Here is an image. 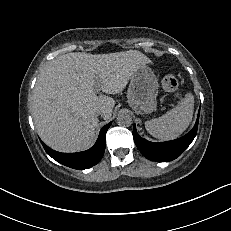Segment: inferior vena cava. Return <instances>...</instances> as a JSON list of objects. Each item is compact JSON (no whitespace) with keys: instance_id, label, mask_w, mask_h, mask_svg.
<instances>
[{"instance_id":"inferior-vena-cava-1","label":"inferior vena cava","mask_w":231,"mask_h":231,"mask_svg":"<svg viewBox=\"0 0 231 231\" xmlns=\"http://www.w3.org/2000/svg\"><path fill=\"white\" fill-rule=\"evenodd\" d=\"M102 113H103V109H100V110H97V111H96L97 116H98V115H102Z\"/></svg>"}]
</instances>
